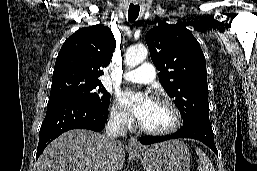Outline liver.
Masks as SVG:
<instances>
[{
	"instance_id": "liver-1",
	"label": "liver",
	"mask_w": 257,
	"mask_h": 171,
	"mask_svg": "<svg viewBox=\"0 0 257 171\" xmlns=\"http://www.w3.org/2000/svg\"><path fill=\"white\" fill-rule=\"evenodd\" d=\"M116 157L111 167L123 168L125 148L116 141ZM105 135L90 130H70L52 141L37 162V171H105L108 165Z\"/></svg>"
}]
</instances>
